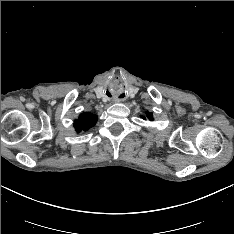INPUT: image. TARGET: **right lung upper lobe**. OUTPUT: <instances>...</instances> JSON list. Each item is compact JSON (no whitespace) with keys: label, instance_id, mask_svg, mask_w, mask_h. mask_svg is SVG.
Instances as JSON below:
<instances>
[{"label":"right lung upper lobe","instance_id":"1","mask_svg":"<svg viewBox=\"0 0 234 234\" xmlns=\"http://www.w3.org/2000/svg\"><path fill=\"white\" fill-rule=\"evenodd\" d=\"M97 117L94 114L85 112L79 116L74 122V127L77 132L87 131L89 128L95 125Z\"/></svg>","mask_w":234,"mask_h":234}]
</instances>
